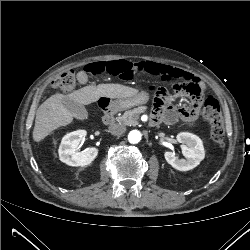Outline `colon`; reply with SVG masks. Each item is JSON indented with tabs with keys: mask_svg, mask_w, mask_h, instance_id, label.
<instances>
[{
	"mask_svg": "<svg viewBox=\"0 0 250 250\" xmlns=\"http://www.w3.org/2000/svg\"><path fill=\"white\" fill-rule=\"evenodd\" d=\"M136 68L138 67L127 61L97 62L87 65L84 73L89 76L109 75L119 79H129ZM75 85L76 76L73 70L65 71L52 82L53 88L63 92L73 90ZM159 90L156 92V98L159 97ZM190 94L196 96L197 91H191ZM203 115L210 126L211 140L218 145L222 144L224 140L223 119L220 105L215 97L211 95L205 97Z\"/></svg>",
	"mask_w": 250,
	"mask_h": 250,
	"instance_id": "colon-1",
	"label": "colon"
}]
</instances>
